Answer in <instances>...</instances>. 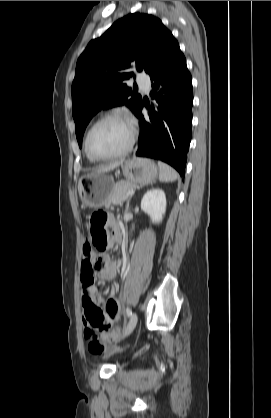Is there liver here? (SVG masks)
<instances>
[{"instance_id":"1","label":"liver","mask_w":271,"mask_h":418,"mask_svg":"<svg viewBox=\"0 0 271 418\" xmlns=\"http://www.w3.org/2000/svg\"><path fill=\"white\" fill-rule=\"evenodd\" d=\"M123 163V161H120V162H114V163H112V164H109L108 166H105V167H102V168H99L98 170H96L95 172H93V173H106V172H110V171H112V170H114L116 167H118L119 165H121ZM92 173V174H93Z\"/></svg>"}]
</instances>
